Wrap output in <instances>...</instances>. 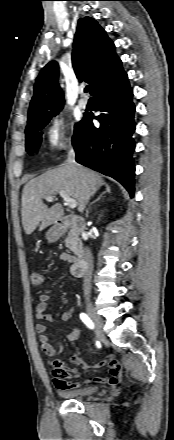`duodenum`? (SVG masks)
Masks as SVG:
<instances>
[{
	"instance_id": "obj_1",
	"label": "duodenum",
	"mask_w": 174,
	"mask_h": 440,
	"mask_svg": "<svg viewBox=\"0 0 174 440\" xmlns=\"http://www.w3.org/2000/svg\"><path fill=\"white\" fill-rule=\"evenodd\" d=\"M85 227L83 219L75 215H67L57 221L54 232L61 236L71 230L73 233H80ZM76 259L72 265V274L75 277H82L86 271V263L83 258V252L80 247L75 248Z\"/></svg>"
}]
</instances>
